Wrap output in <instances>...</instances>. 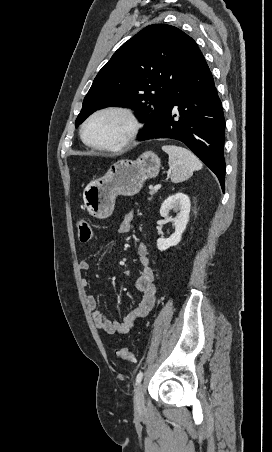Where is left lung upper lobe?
<instances>
[{
  "label": "left lung upper lobe",
  "mask_w": 272,
  "mask_h": 452,
  "mask_svg": "<svg viewBox=\"0 0 272 452\" xmlns=\"http://www.w3.org/2000/svg\"><path fill=\"white\" fill-rule=\"evenodd\" d=\"M197 48L195 41L177 27L147 26L124 43L99 71L75 126L109 106L130 107L145 123L144 128L153 125Z\"/></svg>",
  "instance_id": "1"
}]
</instances>
